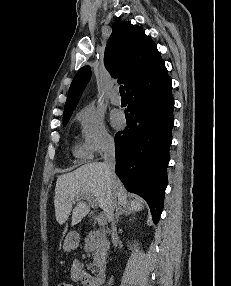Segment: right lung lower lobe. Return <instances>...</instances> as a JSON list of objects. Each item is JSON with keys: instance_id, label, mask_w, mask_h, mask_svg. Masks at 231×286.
<instances>
[{"instance_id": "obj_1", "label": "right lung lower lobe", "mask_w": 231, "mask_h": 286, "mask_svg": "<svg viewBox=\"0 0 231 286\" xmlns=\"http://www.w3.org/2000/svg\"><path fill=\"white\" fill-rule=\"evenodd\" d=\"M127 127L115 135L116 174L125 188L143 197L159 221L167 187L174 125L172 81L167 70L126 88Z\"/></svg>"}]
</instances>
